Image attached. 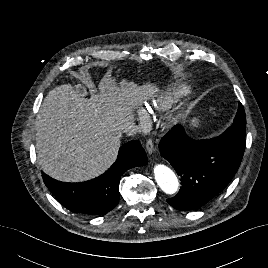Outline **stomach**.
<instances>
[{
    "mask_svg": "<svg viewBox=\"0 0 268 268\" xmlns=\"http://www.w3.org/2000/svg\"><path fill=\"white\" fill-rule=\"evenodd\" d=\"M191 122L193 125H196L198 123V119L194 118Z\"/></svg>",
    "mask_w": 268,
    "mask_h": 268,
    "instance_id": "stomach-1",
    "label": "stomach"
}]
</instances>
